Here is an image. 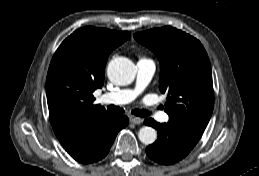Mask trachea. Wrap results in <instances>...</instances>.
I'll list each match as a JSON object with an SVG mask.
<instances>
[{
	"label": "trachea",
	"instance_id": "3493384b",
	"mask_svg": "<svg viewBox=\"0 0 259 176\" xmlns=\"http://www.w3.org/2000/svg\"><path fill=\"white\" fill-rule=\"evenodd\" d=\"M108 111L109 112H113V113H122L124 112L123 109L117 107V106H114V105H110L108 106ZM132 114L136 115V116H139V117H146V116H149L150 113L149 111L147 110H140V109H135V110H132Z\"/></svg>",
	"mask_w": 259,
	"mask_h": 176
}]
</instances>
